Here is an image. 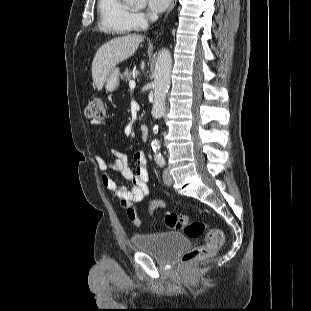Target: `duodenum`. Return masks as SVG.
I'll return each mask as SVG.
<instances>
[{
  "label": "duodenum",
  "instance_id": "duodenum-1",
  "mask_svg": "<svg viewBox=\"0 0 311 311\" xmlns=\"http://www.w3.org/2000/svg\"><path fill=\"white\" fill-rule=\"evenodd\" d=\"M141 139L143 141H147L149 139V127L147 125H142L141 126Z\"/></svg>",
  "mask_w": 311,
  "mask_h": 311
}]
</instances>
